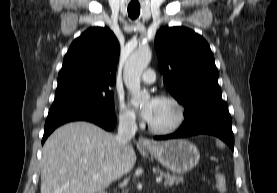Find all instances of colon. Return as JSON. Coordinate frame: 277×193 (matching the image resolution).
<instances>
[{
  "label": "colon",
  "mask_w": 277,
  "mask_h": 193,
  "mask_svg": "<svg viewBox=\"0 0 277 193\" xmlns=\"http://www.w3.org/2000/svg\"><path fill=\"white\" fill-rule=\"evenodd\" d=\"M215 180V186L219 193H227L228 191V185L227 180L224 174L222 173H216L214 176Z\"/></svg>",
  "instance_id": "colon-1"
}]
</instances>
